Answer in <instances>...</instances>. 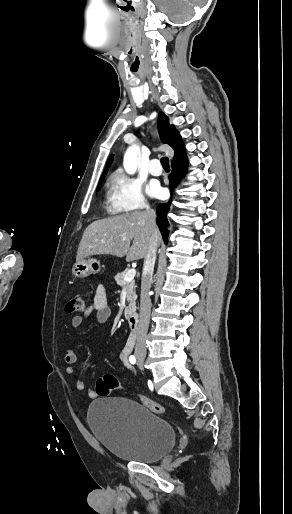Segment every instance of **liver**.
I'll return each mask as SVG.
<instances>
[{"label": "liver", "mask_w": 292, "mask_h": 514, "mask_svg": "<svg viewBox=\"0 0 292 514\" xmlns=\"http://www.w3.org/2000/svg\"><path fill=\"white\" fill-rule=\"evenodd\" d=\"M148 224L147 212H130V214L92 222L82 236L77 252V262L81 258L97 256V254H111L118 258L126 256V262L145 258L150 236L156 234L158 242L162 240L158 228L149 232ZM131 240L133 244L130 248Z\"/></svg>", "instance_id": "obj_1"}]
</instances>
